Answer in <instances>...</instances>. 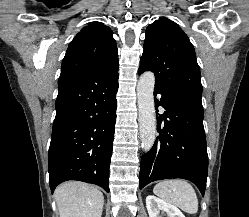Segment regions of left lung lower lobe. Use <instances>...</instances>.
I'll list each match as a JSON object with an SVG mask.
<instances>
[{
    "mask_svg": "<svg viewBox=\"0 0 249 217\" xmlns=\"http://www.w3.org/2000/svg\"><path fill=\"white\" fill-rule=\"evenodd\" d=\"M139 75L142 72H138ZM155 108L166 111L157 116V137L152 149L142 156L140 185L162 179L182 178L193 182L204 196L208 173V155L203 127L201 96L155 85Z\"/></svg>",
    "mask_w": 249,
    "mask_h": 217,
    "instance_id": "0a47b994",
    "label": "left lung lower lobe"
}]
</instances>
